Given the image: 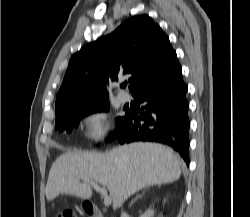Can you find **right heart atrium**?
<instances>
[{
	"instance_id": "1",
	"label": "right heart atrium",
	"mask_w": 250,
	"mask_h": 217,
	"mask_svg": "<svg viewBox=\"0 0 250 217\" xmlns=\"http://www.w3.org/2000/svg\"><path fill=\"white\" fill-rule=\"evenodd\" d=\"M83 136L90 141H100L107 137L109 120L107 113L98 108L86 110L80 117Z\"/></svg>"
}]
</instances>
